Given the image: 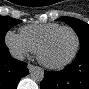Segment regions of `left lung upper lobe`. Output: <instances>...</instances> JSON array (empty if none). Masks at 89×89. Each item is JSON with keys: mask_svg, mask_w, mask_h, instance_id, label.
I'll list each match as a JSON object with an SVG mask.
<instances>
[{"mask_svg": "<svg viewBox=\"0 0 89 89\" xmlns=\"http://www.w3.org/2000/svg\"><path fill=\"white\" fill-rule=\"evenodd\" d=\"M58 21H64L77 33L80 40V48L89 47V25L73 17H61Z\"/></svg>", "mask_w": 89, "mask_h": 89, "instance_id": "1", "label": "left lung upper lobe"}]
</instances>
